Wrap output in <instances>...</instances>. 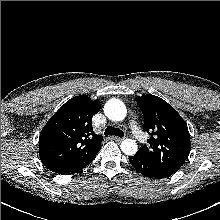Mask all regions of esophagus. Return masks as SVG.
<instances>
[{"label": "esophagus", "instance_id": "esophagus-1", "mask_svg": "<svg viewBox=\"0 0 220 220\" xmlns=\"http://www.w3.org/2000/svg\"><path fill=\"white\" fill-rule=\"evenodd\" d=\"M112 140L116 141V142H121L124 140V138H120V137H111Z\"/></svg>", "mask_w": 220, "mask_h": 220}]
</instances>
